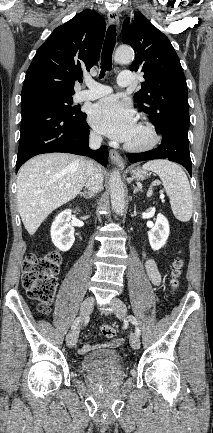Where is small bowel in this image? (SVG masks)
<instances>
[{
    "label": "small bowel",
    "instance_id": "obj_1",
    "mask_svg": "<svg viewBox=\"0 0 213 433\" xmlns=\"http://www.w3.org/2000/svg\"><path fill=\"white\" fill-rule=\"evenodd\" d=\"M145 269H146V272H147V275H148L150 281L156 286L160 285L161 273L159 271V268H158L156 261L152 258L147 259L145 262ZM122 343H123V339L117 338V339H114V340L108 342L105 346L109 347V348H114V347L120 346ZM93 348H94L93 346L86 343L81 348L78 349V352L80 354H85V353L91 351Z\"/></svg>",
    "mask_w": 213,
    "mask_h": 433
}]
</instances>
